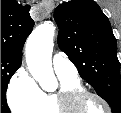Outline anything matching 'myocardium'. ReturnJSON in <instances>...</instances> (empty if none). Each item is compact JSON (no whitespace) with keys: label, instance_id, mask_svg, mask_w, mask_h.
Returning a JSON list of instances; mask_svg holds the SVG:
<instances>
[{"label":"myocardium","instance_id":"obj_1","mask_svg":"<svg viewBox=\"0 0 121 113\" xmlns=\"http://www.w3.org/2000/svg\"><path fill=\"white\" fill-rule=\"evenodd\" d=\"M87 98L97 99L105 108V113H111V107L108 101L101 95L84 89H73L70 91H60L58 93L59 105H67L68 110L81 109L75 107L82 105Z\"/></svg>","mask_w":121,"mask_h":113}]
</instances>
